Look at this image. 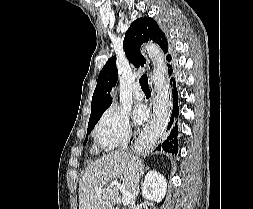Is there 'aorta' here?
<instances>
[{
  "instance_id": "1",
  "label": "aorta",
  "mask_w": 253,
  "mask_h": 209,
  "mask_svg": "<svg viewBox=\"0 0 253 209\" xmlns=\"http://www.w3.org/2000/svg\"><path fill=\"white\" fill-rule=\"evenodd\" d=\"M115 96H116V94L115 93H113V97L115 98Z\"/></svg>"
}]
</instances>
